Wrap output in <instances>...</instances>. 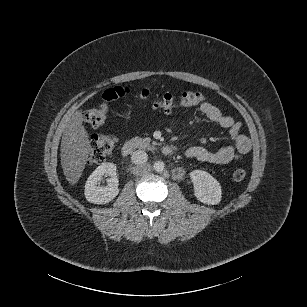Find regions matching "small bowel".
<instances>
[{"label": "small bowel", "mask_w": 307, "mask_h": 307, "mask_svg": "<svg viewBox=\"0 0 307 307\" xmlns=\"http://www.w3.org/2000/svg\"><path fill=\"white\" fill-rule=\"evenodd\" d=\"M200 110L209 121L228 130L232 144L216 151H210L201 146H193L185 151L186 157L202 163L222 165L238 160L251 150L250 138L241 133L240 122L225 115L218 107L209 102L202 103Z\"/></svg>", "instance_id": "c3829d8e"}]
</instances>
